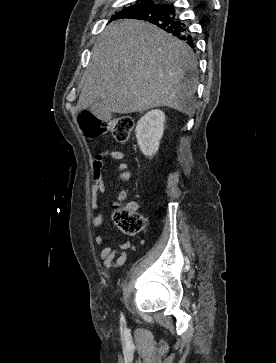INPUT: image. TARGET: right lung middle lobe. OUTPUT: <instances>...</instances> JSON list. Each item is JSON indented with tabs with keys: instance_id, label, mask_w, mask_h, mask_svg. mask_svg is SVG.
<instances>
[{
	"instance_id": "obj_1",
	"label": "right lung middle lobe",
	"mask_w": 276,
	"mask_h": 363,
	"mask_svg": "<svg viewBox=\"0 0 276 363\" xmlns=\"http://www.w3.org/2000/svg\"><path fill=\"white\" fill-rule=\"evenodd\" d=\"M162 4L158 1L153 0H141L140 2H137L135 5H131L127 8H124L123 10L117 12L112 20L119 19V18H125V17H133L139 13H143L150 9L151 7H154L155 5Z\"/></svg>"
}]
</instances>
